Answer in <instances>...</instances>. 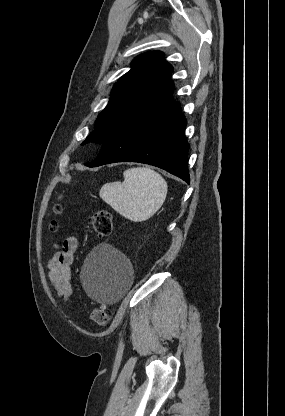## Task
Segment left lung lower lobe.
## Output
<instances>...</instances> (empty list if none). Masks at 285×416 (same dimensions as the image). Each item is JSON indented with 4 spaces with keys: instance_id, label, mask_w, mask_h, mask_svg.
Instances as JSON below:
<instances>
[{
    "instance_id": "left-lung-lower-lobe-1",
    "label": "left lung lower lobe",
    "mask_w": 285,
    "mask_h": 416,
    "mask_svg": "<svg viewBox=\"0 0 285 416\" xmlns=\"http://www.w3.org/2000/svg\"><path fill=\"white\" fill-rule=\"evenodd\" d=\"M186 119L179 105L172 101L142 116L115 133L97 158L85 165L97 167L114 162H140L160 167L189 183L184 135Z\"/></svg>"
}]
</instances>
